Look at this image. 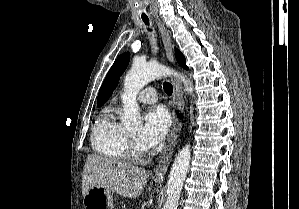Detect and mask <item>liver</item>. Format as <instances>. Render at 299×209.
Segmentation results:
<instances>
[{
  "mask_svg": "<svg viewBox=\"0 0 299 209\" xmlns=\"http://www.w3.org/2000/svg\"><path fill=\"white\" fill-rule=\"evenodd\" d=\"M149 173L140 167L98 155H89L84 165L82 194L93 187H103L128 197L139 196L147 184Z\"/></svg>",
  "mask_w": 299,
  "mask_h": 209,
  "instance_id": "obj_1",
  "label": "liver"
}]
</instances>
